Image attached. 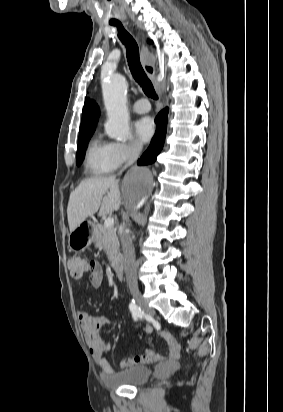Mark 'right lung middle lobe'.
<instances>
[{
    "instance_id": "dd1d6c3e",
    "label": "right lung middle lobe",
    "mask_w": 283,
    "mask_h": 412,
    "mask_svg": "<svg viewBox=\"0 0 283 412\" xmlns=\"http://www.w3.org/2000/svg\"><path fill=\"white\" fill-rule=\"evenodd\" d=\"M93 133V132H92ZM92 133L85 134L83 136L79 137L78 140V149H77V157H76V163L77 165H80L81 162L84 159L85 155V150L87 148L88 142L90 137L92 136Z\"/></svg>"
}]
</instances>
